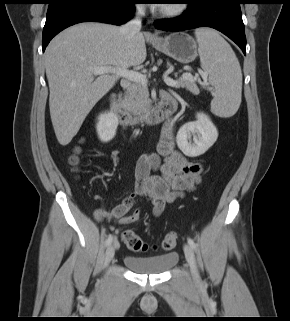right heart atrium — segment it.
<instances>
[{
	"label": "right heart atrium",
	"mask_w": 290,
	"mask_h": 321,
	"mask_svg": "<svg viewBox=\"0 0 290 321\" xmlns=\"http://www.w3.org/2000/svg\"><path fill=\"white\" fill-rule=\"evenodd\" d=\"M136 8H137V10H141V6L140 5H138Z\"/></svg>",
	"instance_id": "1"
}]
</instances>
